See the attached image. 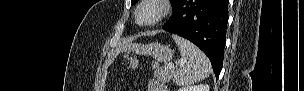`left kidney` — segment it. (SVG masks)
I'll return each mask as SVG.
<instances>
[{
    "label": "left kidney",
    "mask_w": 304,
    "mask_h": 91,
    "mask_svg": "<svg viewBox=\"0 0 304 91\" xmlns=\"http://www.w3.org/2000/svg\"><path fill=\"white\" fill-rule=\"evenodd\" d=\"M210 87L208 84H199L193 86H184L179 88L178 91H209Z\"/></svg>",
    "instance_id": "left-kidney-1"
}]
</instances>
